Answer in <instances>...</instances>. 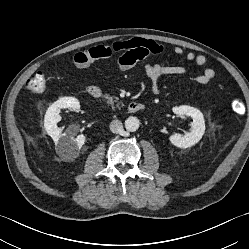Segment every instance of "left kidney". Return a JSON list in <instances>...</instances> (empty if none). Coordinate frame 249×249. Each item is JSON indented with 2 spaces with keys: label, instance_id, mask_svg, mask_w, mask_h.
<instances>
[{
  "label": "left kidney",
  "instance_id": "obj_1",
  "mask_svg": "<svg viewBox=\"0 0 249 249\" xmlns=\"http://www.w3.org/2000/svg\"><path fill=\"white\" fill-rule=\"evenodd\" d=\"M173 112L178 115L189 116L192 118L193 122L191 124L190 132L186 133L184 136L173 134L169 137L170 142L179 148H189L197 144L205 133V120L202 112L187 105L174 107Z\"/></svg>",
  "mask_w": 249,
  "mask_h": 249
}]
</instances>
